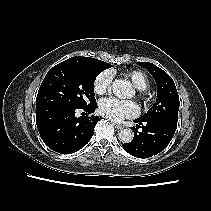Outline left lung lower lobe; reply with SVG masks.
Here are the masks:
<instances>
[{"label":"left lung lower lobe","mask_w":211,"mask_h":211,"mask_svg":"<svg viewBox=\"0 0 211 211\" xmlns=\"http://www.w3.org/2000/svg\"><path fill=\"white\" fill-rule=\"evenodd\" d=\"M138 125L133 127L134 138L130 143L123 144L126 152L138 158H149L164 150L170 143L176 128L165 123L152 120H134ZM142 128L138 132L137 128Z\"/></svg>","instance_id":"0a47b994"}]
</instances>
